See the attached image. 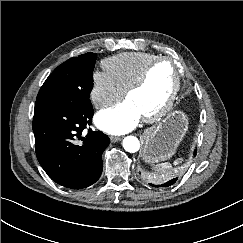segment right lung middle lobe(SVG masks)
Here are the masks:
<instances>
[{
    "label": "right lung middle lobe",
    "mask_w": 243,
    "mask_h": 243,
    "mask_svg": "<svg viewBox=\"0 0 243 243\" xmlns=\"http://www.w3.org/2000/svg\"><path fill=\"white\" fill-rule=\"evenodd\" d=\"M96 58L95 53H85L62 63L44 82L36 103L48 102L72 109L90 107Z\"/></svg>",
    "instance_id": "dd1d6c3e"
}]
</instances>
